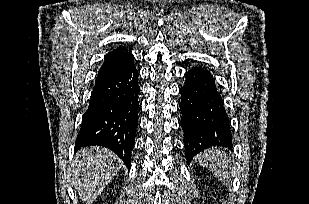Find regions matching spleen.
<instances>
[{"label": "spleen", "instance_id": "1", "mask_svg": "<svg viewBox=\"0 0 309 204\" xmlns=\"http://www.w3.org/2000/svg\"><path fill=\"white\" fill-rule=\"evenodd\" d=\"M197 158L201 165L213 171L224 184H229L235 175L232 160L225 150L211 148L200 153Z\"/></svg>", "mask_w": 309, "mask_h": 204}]
</instances>
